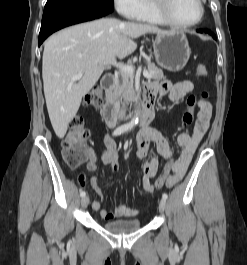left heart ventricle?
Listing matches in <instances>:
<instances>
[{
	"mask_svg": "<svg viewBox=\"0 0 247 265\" xmlns=\"http://www.w3.org/2000/svg\"><path fill=\"white\" fill-rule=\"evenodd\" d=\"M171 13L181 23L195 21L200 14V7L197 0H172Z\"/></svg>",
	"mask_w": 247,
	"mask_h": 265,
	"instance_id": "obj_1",
	"label": "left heart ventricle"
}]
</instances>
